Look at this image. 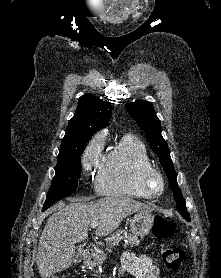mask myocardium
Listing matches in <instances>:
<instances>
[{
	"label": "myocardium",
	"mask_w": 221,
	"mask_h": 278,
	"mask_svg": "<svg viewBox=\"0 0 221 278\" xmlns=\"http://www.w3.org/2000/svg\"><path fill=\"white\" fill-rule=\"evenodd\" d=\"M139 183L149 198L159 197L165 188L162 174L153 166H148L139 172Z\"/></svg>",
	"instance_id": "obj_1"
}]
</instances>
